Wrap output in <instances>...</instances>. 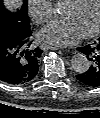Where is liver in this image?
Instances as JSON below:
<instances>
[{"label":"liver","instance_id":"1","mask_svg":"<svg viewBox=\"0 0 100 118\" xmlns=\"http://www.w3.org/2000/svg\"><path fill=\"white\" fill-rule=\"evenodd\" d=\"M22 0H7V4L11 7V8H15L21 5Z\"/></svg>","mask_w":100,"mask_h":118}]
</instances>
